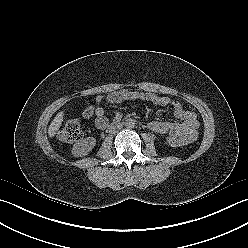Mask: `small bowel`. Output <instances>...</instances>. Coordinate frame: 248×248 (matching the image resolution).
<instances>
[{
	"label": "small bowel",
	"mask_w": 248,
	"mask_h": 248,
	"mask_svg": "<svg viewBox=\"0 0 248 248\" xmlns=\"http://www.w3.org/2000/svg\"><path fill=\"white\" fill-rule=\"evenodd\" d=\"M144 101L155 106H170L178 122L152 120L148 123L151 131L159 134L177 136L184 143H191L197 139L199 121L197 115L190 110L185 109L180 102L171 100L167 96H161L150 92H141L137 90L121 89L108 94L107 96L98 95L95 99V125L99 129H104L108 125V119L105 110L101 107L103 102L118 104L125 101Z\"/></svg>",
	"instance_id": "1"
}]
</instances>
